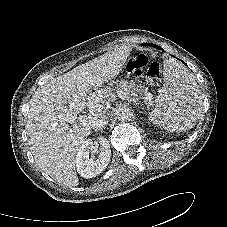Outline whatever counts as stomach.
Segmentation results:
<instances>
[{
    "instance_id": "obj_1",
    "label": "stomach",
    "mask_w": 227,
    "mask_h": 227,
    "mask_svg": "<svg viewBox=\"0 0 227 227\" xmlns=\"http://www.w3.org/2000/svg\"><path fill=\"white\" fill-rule=\"evenodd\" d=\"M116 90H117V86L115 83L103 82L99 86L92 88L90 91V95L92 98L97 99L106 94L114 93V92H116Z\"/></svg>"
}]
</instances>
